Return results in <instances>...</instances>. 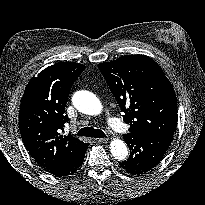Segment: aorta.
Here are the masks:
<instances>
[{"instance_id": "762f6f07", "label": "aorta", "mask_w": 205, "mask_h": 205, "mask_svg": "<svg viewBox=\"0 0 205 205\" xmlns=\"http://www.w3.org/2000/svg\"><path fill=\"white\" fill-rule=\"evenodd\" d=\"M74 107L87 115H98L102 112V104L98 97L93 93L81 90L74 93L72 97ZM110 152L112 156L119 160H125L128 156V148L124 141L113 139L110 143Z\"/></svg>"}]
</instances>
